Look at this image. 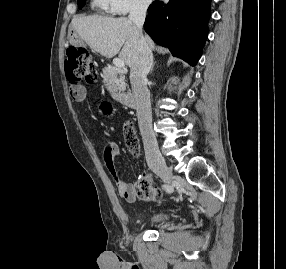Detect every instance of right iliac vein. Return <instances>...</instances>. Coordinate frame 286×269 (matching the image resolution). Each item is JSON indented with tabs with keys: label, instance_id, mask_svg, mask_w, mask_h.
Here are the masks:
<instances>
[{
	"label": "right iliac vein",
	"instance_id": "right-iliac-vein-1",
	"mask_svg": "<svg viewBox=\"0 0 286 269\" xmlns=\"http://www.w3.org/2000/svg\"><path fill=\"white\" fill-rule=\"evenodd\" d=\"M154 172L167 184H171L174 180L171 169L165 163L154 168Z\"/></svg>",
	"mask_w": 286,
	"mask_h": 269
}]
</instances>
